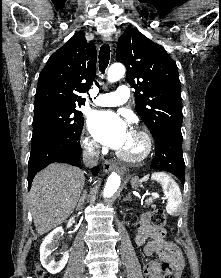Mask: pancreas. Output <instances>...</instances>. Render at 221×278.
Here are the masks:
<instances>
[{"mask_svg":"<svg viewBox=\"0 0 221 278\" xmlns=\"http://www.w3.org/2000/svg\"><path fill=\"white\" fill-rule=\"evenodd\" d=\"M145 203H146L147 206H150V205H151V207H154V206H155L154 204H152V203H153V199H152V198L146 200Z\"/></svg>","mask_w":221,"mask_h":278,"instance_id":"1","label":"pancreas"}]
</instances>
